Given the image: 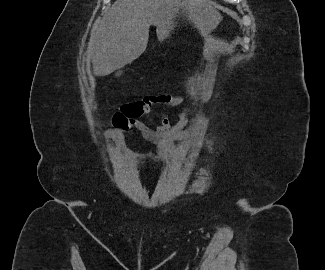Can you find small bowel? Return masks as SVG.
I'll return each instance as SVG.
<instances>
[{
  "instance_id": "1",
  "label": "small bowel",
  "mask_w": 325,
  "mask_h": 270,
  "mask_svg": "<svg viewBox=\"0 0 325 270\" xmlns=\"http://www.w3.org/2000/svg\"><path fill=\"white\" fill-rule=\"evenodd\" d=\"M157 104L172 107L180 106L183 104V98L172 95H154L124 105L122 113H119L115 118L114 126L106 129L102 134L104 139L112 140L115 143L114 146L108 147L107 151L118 156L123 161L130 158L132 155L126 148L124 132L132 127L142 137L158 145L157 153L146 157L148 161L157 163L159 161H172L187 157L193 147L174 148L173 142L196 134L200 130V126L186 127L188 106L183 107V112L178 122L172 125L166 115L155 110V105ZM142 116L147 117L153 127L138 120Z\"/></svg>"
}]
</instances>
